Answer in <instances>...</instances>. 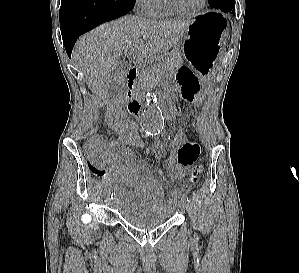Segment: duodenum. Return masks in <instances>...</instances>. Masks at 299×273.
Listing matches in <instances>:
<instances>
[{"label": "duodenum", "mask_w": 299, "mask_h": 273, "mask_svg": "<svg viewBox=\"0 0 299 273\" xmlns=\"http://www.w3.org/2000/svg\"><path fill=\"white\" fill-rule=\"evenodd\" d=\"M138 75V68L133 66L127 75V92L126 102L128 112L132 115H138L142 109V101L137 97L135 93V81Z\"/></svg>", "instance_id": "duodenum-1"}]
</instances>
